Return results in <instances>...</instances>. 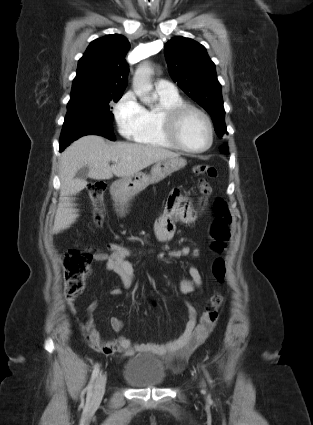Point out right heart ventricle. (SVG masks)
I'll use <instances>...</instances> for the list:
<instances>
[{
    "label": "right heart ventricle",
    "mask_w": 313,
    "mask_h": 425,
    "mask_svg": "<svg viewBox=\"0 0 313 425\" xmlns=\"http://www.w3.org/2000/svg\"><path fill=\"white\" fill-rule=\"evenodd\" d=\"M158 106L145 109L146 124L144 129L134 138L136 142L166 149H178L166 137L161 121V114L164 110L183 104L181 97L176 95H166L156 91Z\"/></svg>",
    "instance_id": "e07e8e85"
}]
</instances>
